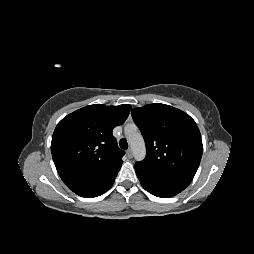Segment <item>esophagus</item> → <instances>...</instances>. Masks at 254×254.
<instances>
[{"mask_svg": "<svg viewBox=\"0 0 254 254\" xmlns=\"http://www.w3.org/2000/svg\"><path fill=\"white\" fill-rule=\"evenodd\" d=\"M126 153H127V157H128V158H130V159H131V158L133 157V152H132V149H130V148H129V149L127 150V152H126Z\"/></svg>", "mask_w": 254, "mask_h": 254, "instance_id": "1", "label": "esophagus"}]
</instances>
